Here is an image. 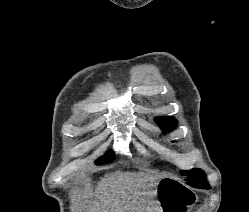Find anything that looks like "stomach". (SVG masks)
Here are the masks:
<instances>
[{
    "mask_svg": "<svg viewBox=\"0 0 249 212\" xmlns=\"http://www.w3.org/2000/svg\"><path fill=\"white\" fill-rule=\"evenodd\" d=\"M156 194L162 212H184L194 204V192L173 178H162L156 184Z\"/></svg>",
    "mask_w": 249,
    "mask_h": 212,
    "instance_id": "1",
    "label": "stomach"
}]
</instances>
